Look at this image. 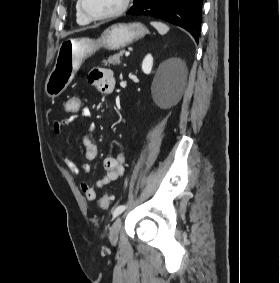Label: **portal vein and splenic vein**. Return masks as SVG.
Listing matches in <instances>:
<instances>
[{
    "mask_svg": "<svg viewBox=\"0 0 280 283\" xmlns=\"http://www.w3.org/2000/svg\"><path fill=\"white\" fill-rule=\"evenodd\" d=\"M129 55H130V52H129V51H126V52H125V56L128 57Z\"/></svg>",
    "mask_w": 280,
    "mask_h": 283,
    "instance_id": "portal-vein-and-splenic-vein-1",
    "label": "portal vein and splenic vein"
}]
</instances>
